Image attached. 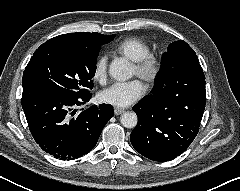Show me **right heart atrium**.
<instances>
[{
  "mask_svg": "<svg viewBox=\"0 0 240 191\" xmlns=\"http://www.w3.org/2000/svg\"><path fill=\"white\" fill-rule=\"evenodd\" d=\"M108 59L106 55H101L96 59L93 76L99 82H104L107 78Z\"/></svg>",
  "mask_w": 240,
  "mask_h": 191,
  "instance_id": "obj_1",
  "label": "right heart atrium"
}]
</instances>
